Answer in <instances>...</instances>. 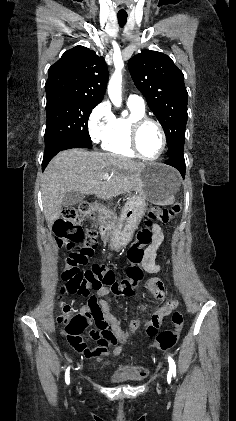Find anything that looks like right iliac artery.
<instances>
[{"label": "right iliac artery", "instance_id": "right-iliac-artery-1", "mask_svg": "<svg viewBox=\"0 0 236 421\" xmlns=\"http://www.w3.org/2000/svg\"><path fill=\"white\" fill-rule=\"evenodd\" d=\"M69 371H70V367H68L66 369V372H65V381H66V384H69L70 383Z\"/></svg>", "mask_w": 236, "mask_h": 421}]
</instances>
